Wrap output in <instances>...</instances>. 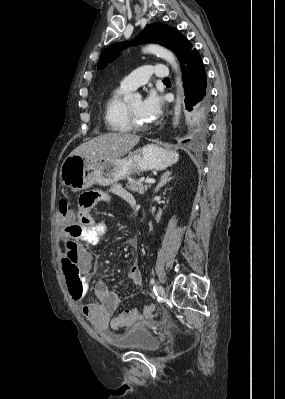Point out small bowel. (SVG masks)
Returning <instances> with one entry per match:
<instances>
[{"mask_svg": "<svg viewBox=\"0 0 285 399\" xmlns=\"http://www.w3.org/2000/svg\"><path fill=\"white\" fill-rule=\"evenodd\" d=\"M97 194V201H111L113 196L122 199L133 211L138 210V204L135 197L125 189L116 188L112 191V195H107L102 192H95ZM92 207L85 208L81 207L82 215L87 218L85 224L73 223L75 218L74 211H69L66 215L61 214L58 211V218L63 223L59 233V240L64 244V247L60 250V257L64 259L68 257L72 248L73 242H86L89 244H97L100 239L109 232V226L98 220H94L90 216ZM76 257L79 266L84 274L82 280V293L81 297L75 299L70 293L73 300L79 301L81 311L84 317L99 331H106L114 329L111 326L112 315L116 311L119 304V294L117 291L109 289L107 284L97 281L93 285V291L98 303H87L84 302V296L90 289V281L88 279V273L92 266V255L89 251L81 246L76 248ZM128 280L136 287L142 285V274L137 264H133L127 273ZM140 318L136 323H138ZM122 328L116 329L120 331Z\"/></svg>", "mask_w": 285, "mask_h": 399, "instance_id": "small-bowel-1", "label": "small bowel"}]
</instances>
